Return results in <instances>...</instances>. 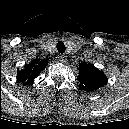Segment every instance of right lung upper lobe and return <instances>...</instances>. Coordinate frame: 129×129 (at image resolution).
<instances>
[{
  "mask_svg": "<svg viewBox=\"0 0 129 129\" xmlns=\"http://www.w3.org/2000/svg\"><path fill=\"white\" fill-rule=\"evenodd\" d=\"M47 64V60L32 61L30 64L25 66L26 70L21 72V80L26 81L27 79H34L40 73V71L46 67Z\"/></svg>",
  "mask_w": 129,
  "mask_h": 129,
  "instance_id": "obj_1",
  "label": "right lung upper lobe"
}]
</instances>
